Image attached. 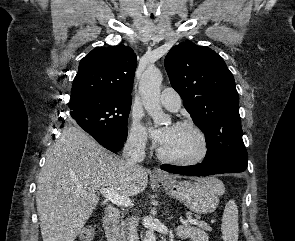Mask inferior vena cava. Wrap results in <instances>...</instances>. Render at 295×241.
Segmentation results:
<instances>
[{"mask_svg":"<svg viewBox=\"0 0 295 241\" xmlns=\"http://www.w3.org/2000/svg\"><path fill=\"white\" fill-rule=\"evenodd\" d=\"M145 158V141L137 136L127 139L124 146L122 159L128 171H136L140 169L139 163ZM128 222V241H139L137 234L138 219L131 217Z\"/></svg>","mask_w":295,"mask_h":241,"instance_id":"obj_1","label":"inferior vena cava"}]
</instances>
